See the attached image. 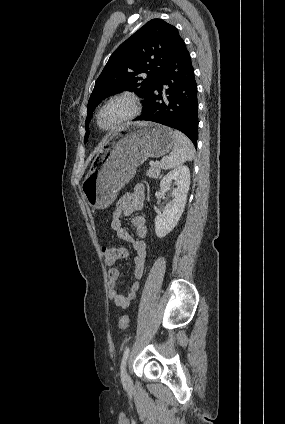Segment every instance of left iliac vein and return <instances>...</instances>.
Masks as SVG:
<instances>
[{
	"label": "left iliac vein",
	"instance_id": "4c4485c4",
	"mask_svg": "<svg viewBox=\"0 0 285 424\" xmlns=\"http://www.w3.org/2000/svg\"><path fill=\"white\" fill-rule=\"evenodd\" d=\"M125 383L128 385L131 383V379L127 371L125 372Z\"/></svg>",
	"mask_w": 285,
	"mask_h": 424
}]
</instances>
